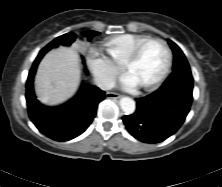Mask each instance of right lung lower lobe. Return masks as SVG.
I'll use <instances>...</instances> for the list:
<instances>
[{
	"instance_id": "98d812e1",
	"label": "right lung lower lobe",
	"mask_w": 222,
	"mask_h": 187,
	"mask_svg": "<svg viewBox=\"0 0 222 187\" xmlns=\"http://www.w3.org/2000/svg\"><path fill=\"white\" fill-rule=\"evenodd\" d=\"M49 50L45 47L40 51L29 72L26 83L28 113L42 134L55 141H68L79 136L92 123L98 104L105 99V92L86 83L72 99L60 106L40 104L34 94L33 79L38 63Z\"/></svg>"
}]
</instances>
